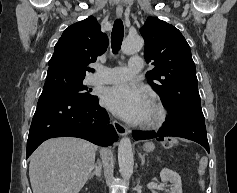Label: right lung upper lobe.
<instances>
[{
  "label": "right lung upper lobe",
  "mask_w": 237,
  "mask_h": 193,
  "mask_svg": "<svg viewBox=\"0 0 237 193\" xmlns=\"http://www.w3.org/2000/svg\"><path fill=\"white\" fill-rule=\"evenodd\" d=\"M107 46V35L101 32L97 20L90 16L65 29L55 45L48 71H60L84 78L87 72H93L88 65L95 62Z\"/></svg>",
  "instance_id": "right-lung-upper-lobe-1"
}]
</instances>
